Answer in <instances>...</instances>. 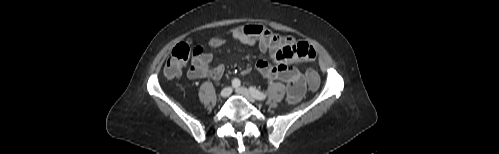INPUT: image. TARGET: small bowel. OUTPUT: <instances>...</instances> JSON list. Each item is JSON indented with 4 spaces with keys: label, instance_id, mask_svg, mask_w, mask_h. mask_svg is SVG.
I'll return each instance as SVG.
<instances>
[{
    "label": "small bowel",
    "instance_id": "obj_1",
    "mask_svg": "<svg viewBox=\"0 0 499 154\" xmlns=\"http://www.w3.org/2000/svg\"><path fill=\"white\" fill-rule=\"evenodd\" d=\"M230 39L255 46L263 53L269 52L273 62L260 60L255 64V69L267 80H279L286 83L289 103L295 104L301 100L305 93L306 80L292 64L314 60L316 57L314 47L307 42L296 41L291 36L275 34L259 24H248L224 32L209 40L206 50L201 46L195 47L187 76L190 79L220 80L225 67L223 65L211 66L213 51ZM250 73V68L243 70V75Z\"/></svg>",
    "mask_w": 499,
    "mask_h": 154
}]
</instances>
